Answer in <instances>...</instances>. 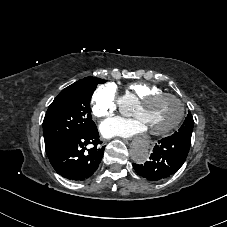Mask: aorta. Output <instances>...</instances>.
<instances>
[{
	"label": "aorta",
	"instance_id": "obj_1",
	"mask_svg": "<svg viewBox=\"0 0 227 227\" xmlns=\"http://www.w3.org/2000/svg\"><path fill=\"white\" fill-rule=\"evenodd\" d=\"M132 160L137 164H143L149 157V146L144 141L135 142L130 150Z\"/></svg>",
	"mask_w": 227,
	"mask_h": 227
}]
</instances>
